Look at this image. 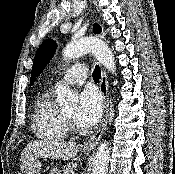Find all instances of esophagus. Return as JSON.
Segmentation results:
<instances>
[{
  "label": "esophagus",
  "instance_id": "esophagus-1",
  "mask_svg": "<svg viewBox=\"0 0 175 174\" xmlns=\"http://www.w3.org/2000/svg\"><path fill=\"white\" fill-rule=\"evenodd\" d=\"M100 91L103 95V101H104V114L103 119L101 122L100 127L96 131V133L87 141L85 142L82 147L86 150H92L94 149L99 140L101 139L107 125L108 117H109V93H108V80L106 72L101 69V80H100Z\"/></svg>",
  "mask_w": 175,
  "mask_h": 174
}]
</instances>
